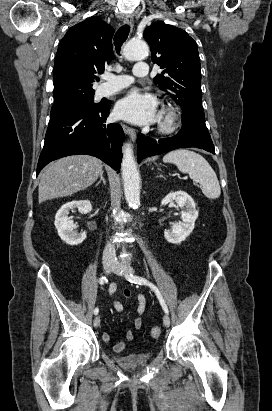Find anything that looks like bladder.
I'll use <instances>...</instances> for the list:
<instances>
[{
  "label": "bladder",
  "instance_id": "bladder-1",
  "mask_svg": "<svg viewBox=\"0 0 272 411\" xmlns=\"http://www.w3.org/2000/svg\"><path fill=\"white\" fill-rule=\"evenodd\" d=\"M153 358V353L113 355V361L127 370H137L145 367Z\"/></svg>",
  "mask_w": 272,
  "mask_h": 411
}]
</instances>
